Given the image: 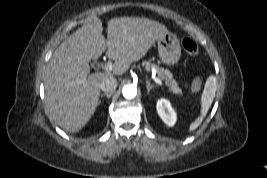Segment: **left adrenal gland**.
<instances>
[{
  "mask_svg": "<svg viewBox=\"0 0 267 178\" xmlns=\"http://www.w3.org/2000/svg\"><path fill=\"white\" fill-rule=\"evenodd\" d=\"M147 93H150V90L154 88V85H151L148 80H146Z\"/></svg>",
  "mask_w": 267,
  "mask_h": 178,
  "instance_id": "1",
  "label": "left adrenal gland"
}]
</instances>
